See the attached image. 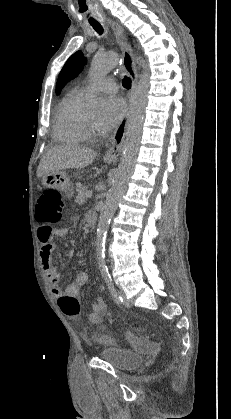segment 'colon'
Instances as JSON below:
<instances>
[{
  "mask_svg": "<svg viewBox=\"0 0 231 419\" xmlns=\"http://www.w3.org/2000/svg\"><path fill=\"white\" fill-rule=\"evenodd\" d=\"M64 213V205L61 193L56 189L45 190L38 198L36 203L35 216L38 222L43 224L58 223ZM58 305L62 312L72 321H80V305L75 297L63 295L58 299ZM101 341L105 344H114L115 341L105 337Z\"/></svg>",
  "mask_w": 231,
  "mask_h": 419,
  "instance_id": "5ec220e1",
  "label": "colon"
}]
</instances>
